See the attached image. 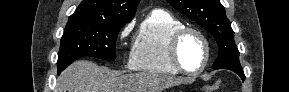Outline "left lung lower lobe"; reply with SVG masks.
<instances>
[{"mask_svg": "<svg viewBox=\"0 0 289 92\" xmlns=\"http://www.w3.org/2000/svg\"><path fill=\"white\" fill-rule=\"evenodd\" d=\"M235 73H237L243 81L245 80V75H244L243 71H238L237 70Z\"/></svg>", "mask_w": 289, "mask_h": 92, "instance_id": "1", "label": "left lung lower lobe"}]
</instances>
